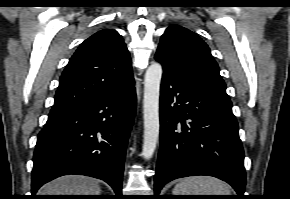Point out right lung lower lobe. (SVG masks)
Here are the masks:
<instances>
[{
  "instance_id": "right-lung-lower-lobe-1",
  "label": "right lung lower lobe",
  "mask_w": 290,
  "mask_h": 199,
  "mask_svg": "<svg viewBox=\"0 0 290 199\" xmlns=\"http://www.w3.org/2000/svg\"><path fill=\"white\" fill-rule=\"evenodd\" d=\"M135 111L134 81L121 92L51 110L34 152L32 199L43 184L67 174L104 180L120 198Z\"/></svg>"
}]
</instances>
